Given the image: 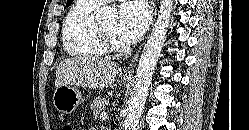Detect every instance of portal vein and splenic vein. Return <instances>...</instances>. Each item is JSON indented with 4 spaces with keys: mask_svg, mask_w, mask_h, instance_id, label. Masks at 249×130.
I'll return each mask as SVG.
<instances>
[{
    "mask_svg": "<svg viewBox=\"0 0 249 130\" xmlns=\"http://www.w3.org/2000/svg\"><path fill=\"white\" fill-rule=\"evenodd\" d=\"M100 118L101 119H107L108 118V114L106 113V112H102V113H100Z\"/></svg>",
    "mask_w": 249,
    "mask_h": 130,
    "instance_id": "obj_1",
    "label": "portal vein and splenic vein"
}]
</instances>
